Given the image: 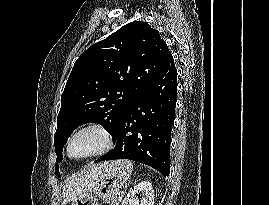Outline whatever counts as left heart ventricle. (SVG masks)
I'll use <instances>...</instances> for the list:
<instances>
[{"instance_id": "1", "label": "left heart ventricle", "mask_w": 269, "mask_h": 205, "mask_svg": "<svg viewBox=\"0 0 269 205\" xmlns=\"http://www.w3.org/2000/svg\"><path fill=\"white\" fill-rule=\"evenodd\" d=\"M104 140L100 133L95 130H86L78 134L72 141L71 154L82 157L100 149Z\"/></svg>"}]
</instances>
